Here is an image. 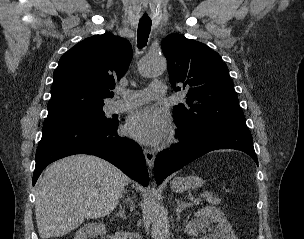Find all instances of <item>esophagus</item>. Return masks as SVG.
Instances as JSON below:
<instances>
[{
	"mask_svg": "<svg viewBox=\"0 0 304 239\" xmlns=\"http://www.w3.org/2000/svg\"><path fill=\"white\" fill-rule=\"evenodd\" d=\"M143 153H144V156H145V159H146V162H147L149 168L152 169L154 166V161H155L154 152L150 149L145 148L143 150Z\"/></svg>",
	"mask_w": 304,
	"mask_h": 239,
	"instance_id": "34e87169",
	"label": "esophagus"
}]
</instances>
